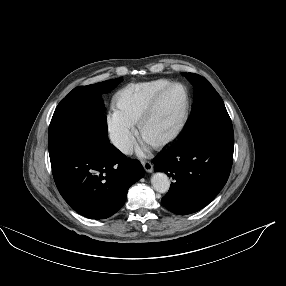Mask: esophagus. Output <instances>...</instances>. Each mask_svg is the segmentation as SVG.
<instances>
[{"label":"esophagus","mask_w":286,"mask_h":286,"mask_svg":"<svg viewBox=\"0 0 286 286\" xmlns=\"http://www.w3.org/2000/svg\"><path fill=\"white\" fill-rule=\"evenodd\" d=\"M142 165L146 172L151 173L153 171V164L150 161H143Z\"/></svg>","instance_id":"1"}]
</instances>
